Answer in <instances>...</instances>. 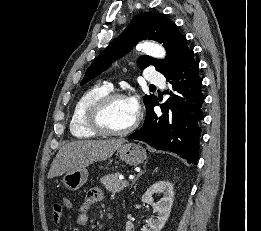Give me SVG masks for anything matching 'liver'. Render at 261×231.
Here are the masks:
<instances>
[{
	"mask_svg": "<svg viewBox=\"0 0 261 231\" xmlns=\"http://www.w3.org/2000/svg\"><path fill=\"white\" fill-rule=\"evenodd\" d=\"M125 142V139L69 142L59 149L47 178L52 179L69 171L85 168L95 161L106 160Z\"/></svg>",
	"mask_w": 261,
	"mask_h": 231,
	"instance_id": "liver-1",
	"label": "liver"
}]
</instances>
